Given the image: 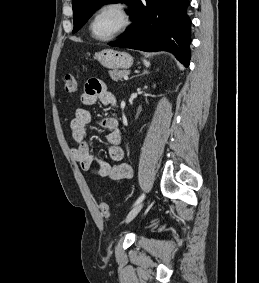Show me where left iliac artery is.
Masks as SVG:
<instances>
[{"label": "left iliac artery", "instance_id": "44dca946", "mask_svg": "<svg viewBox=\"0 0 259 283\" xmlns=\"http://www.w3.org/2000/svg\"><path fill=\"white\" fill-rule=\"evenodd\" d=\"M144 198H145V194L143 193V194H141V195L138 197V199L136 200V202L134 203L133 206H135V205L139 204L140 202H142V200H143Z\"/></svg>", "mask_w": 259, "mask_h": 283}]
</instances>
